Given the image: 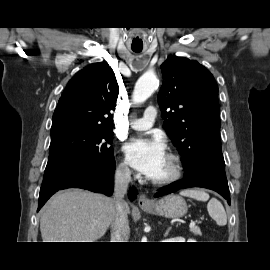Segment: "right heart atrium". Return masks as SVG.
Returning a JSON list of instances; mask_svg holds the SVG:
<instances>
[{
	"label": "right heart atrium",
	"mask_w": 270,
	"mask_h": 270,
	"mask_svg": "<svg viewBox=\"0 0 270 270\" xmlns=\"http://www.w3.org/2000/svg\"><path fill=\"white\" fill-rule=\"evenodd\" d=\"M116 172L123 178H129L132 174L131 169L126 160L121 159L116 167Z\"/></svg>",
	"instance_id": "obj_1"
}]
</instances>
